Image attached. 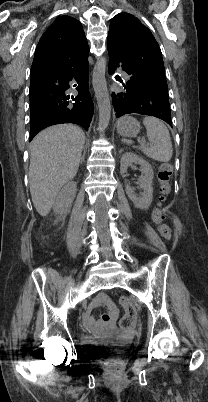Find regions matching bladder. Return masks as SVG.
Masks as SVG:
<instances>
[{
  "label": "bladder",
  "instance_id": "obj_1",
  "mask_svg": "<svg viewBox=\"0 0 208 402\" xmlns=\"http://www.w3.org/2000/svg\"><path fill=\"white\" fill-rule=\"evenodd\" d=\"M90 339H91V341H99V342L103 341L102 339H97V338H95L93 336H90Z\"/></svg>",
  "mask_w": 208,
  "mask_h": 402
}]
</instances>
